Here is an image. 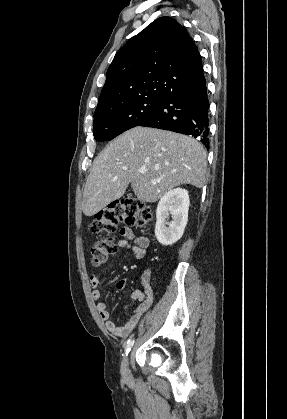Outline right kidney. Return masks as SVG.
<instances>
[{
    "label": "right kidney",
    "instance_id": "1",
    "mask_svg": "<svg viewBox=\"0 0 287 419\" xmlns=\"http://www.w3.org/2000/svg\"><path fill=\"white\" fill-rule=\"evenodd\" d=\"M189 205L188 191L182 188L170 190L160 199L155 225V236L160 244L172 245L182 237L188 221ZM170 215L172 220L168 221Z\"/></svg>",
    "mask_w": 287,
    "mask_h": 419
}]
</instances>
